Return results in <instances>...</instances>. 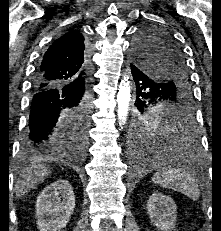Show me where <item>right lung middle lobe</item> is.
<instances>
[{"label": "right lung middle lobe", "instance_id": "obj_1", "mask_svg": "<svg viewBox=\"0 0 221 231\" xmlns=\"http://www.w3.org/2000/svg\"><path fill=\"white\" fill-rule=\"evenodd\" d=\"M90 105L82 106L73 115H67L66 122L69 132L81 143L86 145L89 125Z\"/></svg>", "mask_w": 221, "mask_h": 231}]
</instances>
